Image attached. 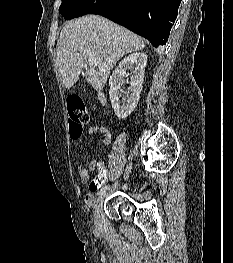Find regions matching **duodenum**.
<instances>
[{
    "mask_svg": "<svg viewBox=\"0 0 233 263\" xmlns=\"http://www.w3.org/2000/svg\"><path fill=\"white\" fill-rule=\"evenodd\" d=\"M99 100L101 103H104L105 101L104 95L102 93L99 94Z\"/></svg>",
    "mask_w": 233,
    "mask_h": 263,
    "instance_id": "1",
    "label": "duodenum"
}]
</instances>
